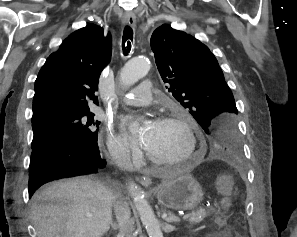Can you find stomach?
Wrapping results in <instances>:
<instances>
[{"instance_id":"0dacf381","label":"stomach","mask_w":297,"mask_h":237,"mask_svg":"<svg viewBox=\"0 0 297 237\" xmlns=\"http://www.w3.org/2000/svg\"><path fill=\"white\" fill-rule=\"evenodd\" d=\"M154 193L161 205L178 210L196 209L204 194L200 183L190 174L164 182Z\"/></svg>"}]
</instances>
